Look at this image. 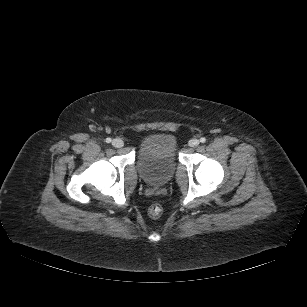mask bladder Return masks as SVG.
I'll return each mask as SVG.
<instances>
[{"mask_svg": "<svg viewBox=\"0 0 307 307\" xmlns=\"http://www.w3.org/2000/svg\"><path fill=\"white\" fill-rule=\"evenodd\" d=\"M176 138L170 133H151L137 150V165L144 182L163 185L174 175L177 167Z\"/></svg>", "mask_w": 307, "mask_h": 307, "instance_id": "1", "label": "bladder"}]
</instances>
